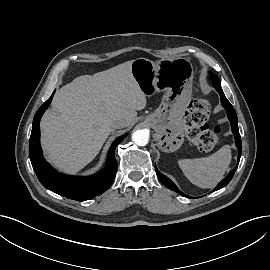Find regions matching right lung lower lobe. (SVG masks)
Returning <instances> with one entry per match:
<instances>
[{
    "instance_id": "1",
    "label": "right lung lower lobe",
    "mask_w": 270,
    "mask_h": 270,
    "mask_svg": "<svg viewBox=\"0 0 270 270\" xmlns=\"http://www.w3.org/2000/svg\"><path fill=\"white\" fill-rule=\"evenodd\" d=\"M54 94V92H53ZM51 97L38 109L33 119L29 142V156L32 167L41 184L62 196L77 201L92 199L106 191L113 183L117 171L115 148L126 135L117 138L109 149L106 167L90 177L67 176L58 173L43 158L40 146V119L51 103Z\"/></svg>"
}]
</instances>
